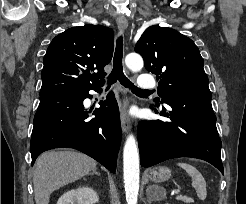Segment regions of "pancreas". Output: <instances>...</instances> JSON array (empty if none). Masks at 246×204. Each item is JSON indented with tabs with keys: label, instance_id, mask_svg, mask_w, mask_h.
<instances>
[{
	"label": "pancreas",
	"instance_id": "cf45deb5",
	"mask_svg": "<svg viewBox=\"0 0 246 204\" xmlns=\"http://www.w3.org/2000/svg\"><path fill=\"white\" fill-rule=\"evenodd\" d=\"M177 199H179V200H181V201H184V202H186V203H189V202L191 201L190 198L185 197V196H181V195L178 196Z\"/></svg>",
	"mask_w": 246,
	"mask_h": 204
}]
</instances>
